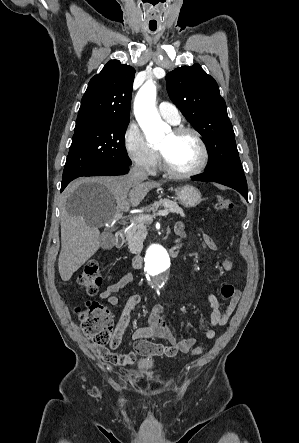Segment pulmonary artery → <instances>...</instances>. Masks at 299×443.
I'll return each instance as SVG.
<instances>
[{
    "label": "pulmonary artery",
    "mask_w": 299,
    "mask_h": 443,
    "mask_svg": "<svg viewBox=\"0 0 299 443\" xmlns=\"http://www.w3.org/2000/svg\"><path fill=\"white\" fill-rule=\"evenodd\" d=\"M159 114L163 119L171 124H178L180 122V115L177 107L169 102H161L158 106Z\"/></svg>",
    "instance_id": "e3ab8cb5"
}]
</instances>
